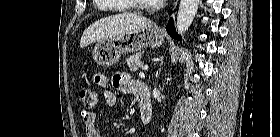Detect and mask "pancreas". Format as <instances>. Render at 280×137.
<instances>
[{"instance_id":"1","label":"pancreas","mask_w":280,"mask_h":137,"mask_svg":"<svg viewBox=\"0 0 280 137\" xmlns=\"http://www.w3.org/2000/svg\"><path fill=\"white\" fill-rule=\"evenodd\" d=\"M142 56V53H136L126 58L125 62L129 66L130 71H137L142 66V62L140 61Z\"/></svg>"}]
</instances>
